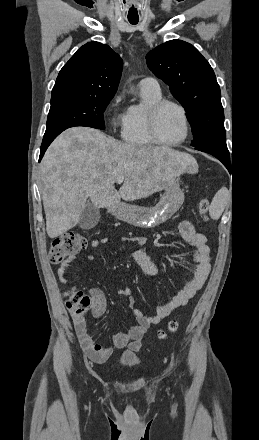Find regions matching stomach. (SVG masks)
<instances>
[{
    "label": "stomach",
    "instance_id": "1",
    "mask_svg": "<svg viewBox=\"0 0 259 440\" xmlns=\"http://www.w3.org/2000/svg\"><path fill=\"white\" fill-rule=\"evenodd\" d=\"M184 202V193L178 183L167 187L160 201L154 207H140L119 203L111 213L116 218L134 226L153 228L169 220Z\"/></svg>",
    "mask_w": 259,
    "mask_h": 440
}]
</instances>
